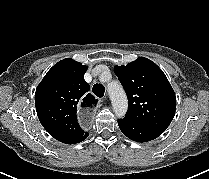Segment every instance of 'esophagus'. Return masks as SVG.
<instances>
[{"label":"esophagus","instance_id":"obj_1","mask_svg":"<svg viewBox=\"0 0 209 179\" xmlns=\"http://www.w3.org/2000/svg\"><path fill=\"white\" fill-rule=\"evenodd\" d=\"M97 105V98L94 95H85L78 105L79 124L83 128H90L94 124L93 108Z\"/></svg>","mask_w":209,"mask_h":179}]
</instances>
